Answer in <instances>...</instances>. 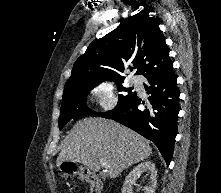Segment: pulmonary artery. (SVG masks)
I'll use <instances>...</instances> for the list:
<instances>
[{
    "label": "pulmonary artery",
    "mask_w": 221,
    "mask_h": 193,
    "mask_svg": "<svg viewBox=\"0 0 221 193\" xmlns=\"http://www.w3.org/2000/svg\"><path fill=\"white\" fill-rule=\"evenodd\" d=\"M131 83H132L133 85L140 86L141 81H140V79H139L138 77H132V78H131Z\"/></svg>",
    "instance_id": "e3ab8cb5"
}]
</instances>
